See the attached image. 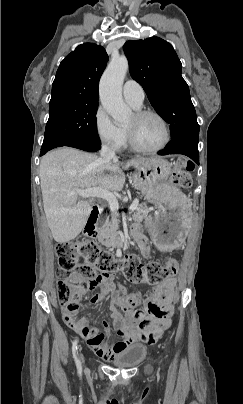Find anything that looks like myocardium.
<instances>
[{"instance_id": "f54148a6", "label": "myocardium", "mask_w": 243, "mask_h": 404, "mask_svg": "<svg viewBox=\"0 0 243 404\" xmlns=\"http://www.w3.org/2000/svg\"><path fill=\"white\" fill-rule=\"evenodd\" d=\"M134 115L136 117H143L146 115H155L157 116L164 124L165 130H166V139L165 141L154 148H148L145 147L143 145H141L133 136V134L131 133L130 130H128L127 128H125V132L127 135V138L129 140L130 145L139 152H143V153H157L160 152L162 150H164L171 142L172 139V129H171V125L169 123V121L167 120V118L159 111L152 109V108H144V109H138L135 111Z\"/></svg>"}]
</instances>
